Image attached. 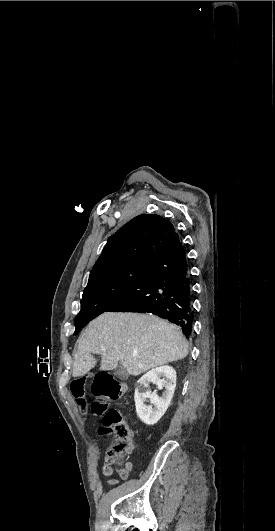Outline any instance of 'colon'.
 Wrapping results in <instances>:
<instances>
[{"mask_svg": "<svg viewBox=\"0 0 275 531\" xmlns=\"http://www.w3.org/2000/svg\"><path fill=\"white\" fill-rule=\"evenodd\" d=\"M90 388L94 398L91 403L92 414H97V417H100L102 422L100 432L113 438L108 450V469H119L121 478L127 479L130 475L131 466L119 465L128 456L132 447V426L123 417L120 410L109 409L108 406L128 391V383L125 380L115 378L107 370L95 373L93 380L90 374L68 379V394L72 395V401L74 402L83 401V396L88 395V389ZM81 405L86 407L84 402H81ZM77 420L80 422L87 421L88 411L85 409L78 410ZM114 482V480L110 481L111 484Z\"/></svg>", "mask_w": 275, "mask_h": 531, "instance_id": "5ec220e1", "label": "colon"}]
</instances>
